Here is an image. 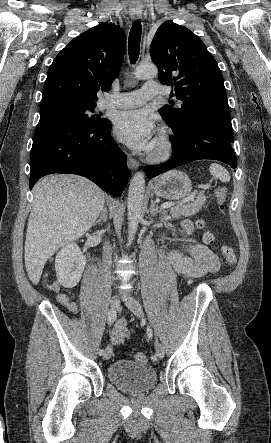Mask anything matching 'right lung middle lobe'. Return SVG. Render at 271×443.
Returning <instances> with one entry per match:
<instances>
[{
    "mask_svg": "<svg viewBox=\"0 0 271 443\" xmlns=\"http://www.w3.org/2000/svg\"><path fill=\"white\" fill-rule=\"evenodd\" d=\"M95 107L96 103L75 99H56L41 103L39 124L51 120H70L81 125L96 127L105 120L90 114Z\"/></svg>",
    "mask_w": 271,
    "mask_h": 443,
    "instance_id": "right-lung-middle-lobe-1",
    "label": "right lung middle lobe"
}]
</instances>
